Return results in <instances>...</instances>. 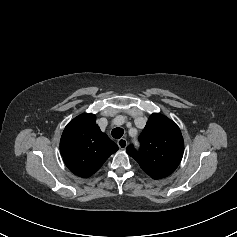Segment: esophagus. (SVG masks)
<instances>
[{
  "mask_svg": "<svg viewBox=\"0 0 237 237\" xmlns=\"http://www.w3.org/2000/svg\"><path fill=\"white\" fill-rule=\"evenodd\" d=\"M117 144L120 149H125L127 147V140L124 138H121L117 141Z\"/></svg>",
  "mask_w": 237,
  "mask_h": 237,
  "instance_id": "1",
  "label": "esophagus"
}]
</instances>
